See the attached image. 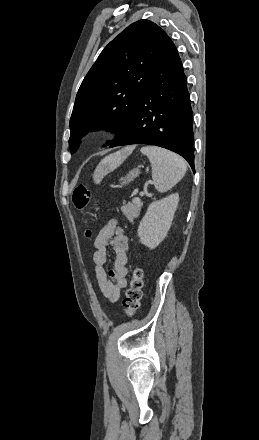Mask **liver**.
<instances>
[{
    "label": "liver",
    "instance_id": "liver-1",
    "mask_svg": "<svg viewBox=\"0 0 259 440\" xmlns=\"http://www.w3.org/2000/svg\"><path fill=\"white\" fill-rule=\"evenodd\" d=\"M133 149L134 147H127L105 157L95 171L96 180L99 182L109 171L120 166Z\"/></svg>",
    "mask_w": 259,
    "mask_h": 440
}]
</instances>
